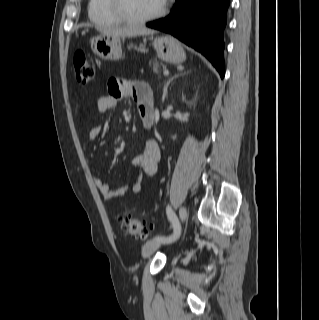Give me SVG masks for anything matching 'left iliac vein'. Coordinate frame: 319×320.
<instances>
[{"label":"left iliac vein","mask_w":319,"mask_h":320,"mask_svg":"<svg viewBox=\"0 0 319 320\" xmlns=\"http://www.w3.org/2000/svg\"><path fill=\"white\" fill-rule=\"evenodd\" d=\"M179 217H180L181 222H183L187 217V211H186L185 207H183V206L179 210ZM161 244H162L161 242H159L155 239L147 241L143 245V248H142L143 256L149 257L161 246Z\"/></svg>","instance_id":"obj_1"}]
</instances>
